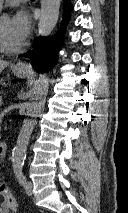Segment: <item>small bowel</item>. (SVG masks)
Wrapping results in <instances>:
<instances>
[{"label": "small bowel", "instance_id": "c3829d8e", "mask_svg": "<svg viewBox=\"0 0 128 213\" xmlns=\"http://www.w3.org/2000/svg\"><path fill=\"white\" fill-rule=\"evenodd\" d=\"M0 213H10V210L7 208L4 202L0 204Z\"/></svg>", "mask_w": 128, "mask_h": 213}]
</instances>
